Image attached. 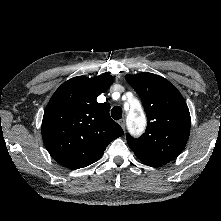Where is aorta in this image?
Here are the masks:
<instances>
[{
  "label": "aorta",
  "mask_w": 221,
  "mask_h": 221,
  "mask_svg": "<svg viewBox=\"0 0 221 221\" xmlns=\"http://www.w3.org/2000/svg\"><path fill=\"white\" fill-rule=\"evenodd\" d=\"M133 103H134V108H133L134 110H140L141 109L140 104L136 99L133 100Z\"/></svg>",
  "instance_id": "1"
}]
</instances>
